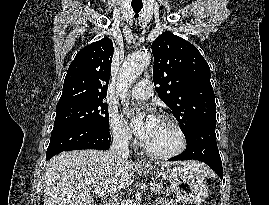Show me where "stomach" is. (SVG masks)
I'll use <instances>...</instances> for the list:
<instances>
[{"instance_id": "stomach-1", "label": "stomach", "mask_w": 269, "mask_h": 205, "mask_svg": "<svg viewBox=\"0 0 269 205\" xmlns=\"http://www.w3.org/2000/svg\"><path fill=\"white\" fill-rule=\"evenodd\" d=\"M141 170L145 174H155L154 168L149 164L141 167ZM156 175H162L170 182V191L178 203L201 205L208 196V188L203 177L185 167L174 166L166 171L157 169Z\"/></svg>"}]
</instances>
